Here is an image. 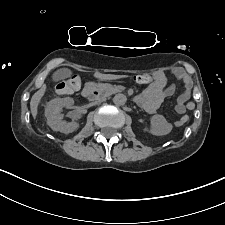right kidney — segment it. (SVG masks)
Returning <instances> with one entry per match:
<instances>
[{"label": "right kidney", "instance_id": "obj_1", "mask_svg": "<svg viewBox=\"0 0 225 225\" xmlns=\"http://www.w3.org/2000/svg\"><path fill=\"white\" fill-rule=\"evenodd\" d=\"M73 104L74 100L72 98H56L48 102L45 116L47 117V124L52 130L68 134L79 127L77 122L66 123L62 121V108L70 109Z\"/></svg>", "mask_w": 225, "mask_h": 225}]
</instances>
